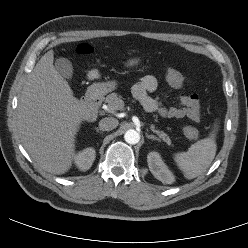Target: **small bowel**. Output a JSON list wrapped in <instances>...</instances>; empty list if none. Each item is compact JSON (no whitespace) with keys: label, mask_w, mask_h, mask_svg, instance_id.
<instances>
[{"label":"small bowel","mask_w":248,"mask_h":248,"mask_svg":"<svg viewBox=\"0 0 248 248\" xmlns=\"http://www.w3.org/2000/svg\"><path fill=\"white\" fill-rule=\"evenodd\" d=\"M90 79H98L100 73L96 69H92L88 73ZM158 87L157 79L152 75H146L136 83L132 92L136 99L140 101L144 109L148 112H156L162 117L181 119L187 117L192 121L199 122L201 120V106L197 94H186L181 92L176 98V106H166L163 103L165 94L152 97L149 94L155 92Z\"/></svg>","instance_id":"small-bowel-1"}]
</instances>
